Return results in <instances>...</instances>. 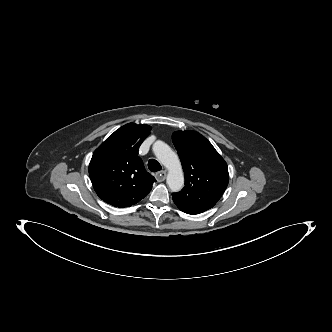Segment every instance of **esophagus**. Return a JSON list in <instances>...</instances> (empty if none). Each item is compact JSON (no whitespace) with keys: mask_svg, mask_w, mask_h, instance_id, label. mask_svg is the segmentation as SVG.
Masks as SVG:
<instances>
[{"mask_svg":"<svg viewBox=\"0 0 332 332\" xmlns=\"http://www.w3.org/2000/svg\"><path fill=\"white\" fill-rule=\"evenodd\" d=\"M167 172L165 170L159 172L156 174V179L158 182H162L166 179Z\"/></svg>","mask_w":332,"mask_h":332,"instance_id":"34e87169","label":"esophagus"}]
</instances>
